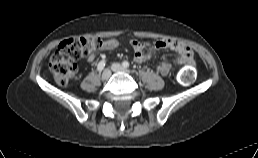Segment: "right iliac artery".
<instances>
[{"instance_id": "right-iliac-artery-1", "label": "right iliac artery", "mask_w": 258, "mask_h": 158, "mask_svg": "<svg viewBox=\"0 0 258 158\" xmlns=\"http://www.w3.org/2000/svg\"><path fill=\"white\" fill-rule=\"evenodd\" d=\"M105 67V61H100L97 65V70L101 72Z\"/></svg>"}]
</instances>
